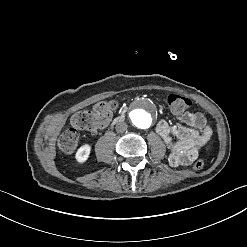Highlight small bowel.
<instances>
[{
    "label": "small bowel",
    "instance_id": "obj_1",
    "mask_svg": "<svg viewBox=\"0 0 247 247\" xmlns=\"http://www.w3.org/2000/svg\"><path fill=\"white\" fill-rule=\"evenodd\" d=\"M177 114L180 121L185 125H172L165 120L159 121L156 125L157 133L168 148V160L173 167L188 166L195 161L200 149L211 136H207L205 133L209 127L202 113L178 111ZM172 135L178 140L174 141Z\"/></svg>",
    "mask_w": 247,
    "mask_h": 247
}]
</instances>
